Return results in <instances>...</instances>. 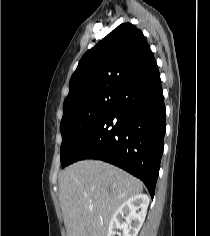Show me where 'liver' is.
Listing matches in <instances>:
<instances>
[{
  "mask_svg": "<svg viewBox=\"0 0 210 236\" xmlns=\"http://www.w3.org/2000/svg\"><path fill=\"white\" fill-rule=\"evenodd\" d=\"M58 185L67 236H106L115 211L143 191L141 181L97 160L70 165Z\"/></svg>",
  "mask_w": 210,
  "mask_h": 236,
  "instance_id": "liver-1",
  "label": "liver"
}]
</instances>
